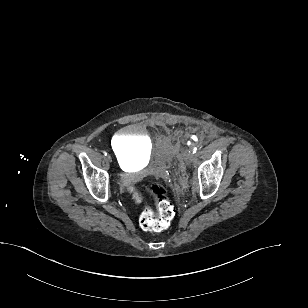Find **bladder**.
Returning <instances> with one entry per match:
<instances>
[{"label":"bladder","mask_w":308,"mask_h":308,"mask_svg":"<svg viewBox=\"0 0 308 308\" xmlns=\"http://www.w3.org/2000/svg\"><path fill=\"white\" fill-rule=\"evenodd\" d=\"M111 147L123 171L145 163L152 152L149 136L136 124L119 130L112 139Z\"/></svg>","instance_id":"31cf9c89"}]
</instances>
